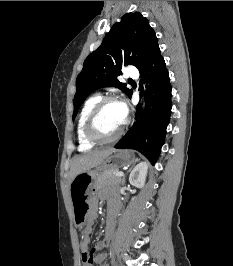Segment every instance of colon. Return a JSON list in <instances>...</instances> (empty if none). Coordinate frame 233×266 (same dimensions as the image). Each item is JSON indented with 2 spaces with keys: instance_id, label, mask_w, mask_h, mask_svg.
Masks as SVG:
<instances>
[{
  "instance_id": "1",
  "label": "colon",
  "mask_w": 233,
  "mask_h": 266,
  "mask_svg": "<svg viewBox=\"0 0 233 266\" xmlns=\"http://www.w3.org/2000/svg\"><path fill=\"white\" fill-rule=\"evenodd\" d=\"M83 264L88 265L91 262L92 254L91 253H83L81 255Z\"/></svg>"
}]
</instances>
